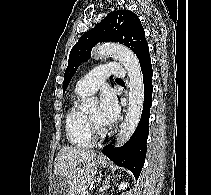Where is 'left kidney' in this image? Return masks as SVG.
<instances>
[{
  "label": "left kidney",
  "mask_w": 211,
  "mask_h": 195,
  "mask_svg": "<svg viewBox=\"0 0 211 195\" xmlns=\"http://www.w3.org/2000/svg\"><path fill=\"white\" fill-rule=\"evenodd\" d=\"M128 186V182H121V184L118 186L119 191L120 190H124L125 188H127Z\"/></svg>",
  "instance_id": "5707ae66"
}]
</instances>
